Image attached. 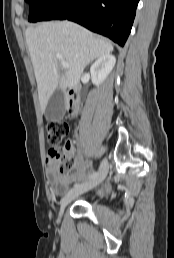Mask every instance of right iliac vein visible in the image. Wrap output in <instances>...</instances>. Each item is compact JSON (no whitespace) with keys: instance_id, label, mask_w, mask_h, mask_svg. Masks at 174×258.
I'll return each mask as SVG.
<instances>
[{"instance_id":"1","label":"right iliac vein","mask_w":174,"mask_h":258,"mask_svg":"<svg viewBox=\"0 0 174 258\" xmlns=\"http://www.w3.org/2000/svg\"><path fill=\"white\" fill-rule=\"evenodd\" d=\"M108 168V161L104 159L100 165L98 175L95 178L83 184L76 185L71 190H69L68 193L60 201L59 216H62L66 206L77 196L91 190L92 188L100 184L105 179L108 172Z\"/></svg>"}]
</instances>
